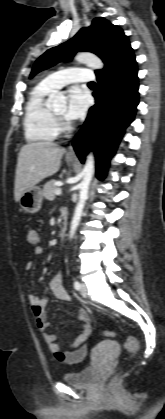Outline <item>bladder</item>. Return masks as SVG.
<instances>
[{
  "label": "bladder",
  "instance_id": "obj_1",
  "mask_svg": "<svg viewBox=\"0 0 165 419\" xmlns=\"http://www.w3.org/2000/svg\"><path fill=\"white\" fill-rule=\"evenodd\" d=\"M62 380L71 387L90 389L97 384L99 375L94 366H86L79 370L65 373L62 376Z\"/></svg>",
  "mask_w": 165,
  "mask_h": 419
}]
</instances>
